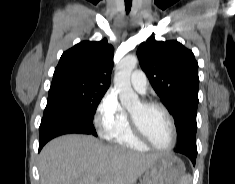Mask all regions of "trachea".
<instances>
[{
	"label": "trachea",
	"mask_w": 235,
	"mask_h": 184,
	"mask_svg": "<svg viewBox=\"0 0 235 184\" xmlns=\"http://www.w3.org/2000/svg\"><path fill=\"white\" fill-rule=\"evenodd\" d=\"M132 0H125L126 11L129 12L131 9Z\"/></svg>",
	"instance_id": "trachea-1"
}]
</instances>
